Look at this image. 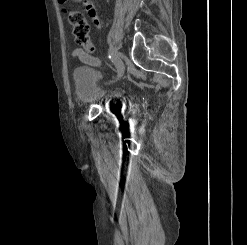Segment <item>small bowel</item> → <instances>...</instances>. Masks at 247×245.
I'll list each match as a JSON object with an SVG mask.
<instances>
[{"label":"small bowel","instance_id":"small-bowel-1","mask_svg":"<svg viewBox=\"0 0 247 245\" xmlns=\"http://www.w3.org/2000/svg\"><path fill=\"white\" fill-rule=\"evenodd\" d=\"M75 2H82L85 6V10L89 17L92 19L96 30L99 31L101 28V22L97 15V11L90 0H73ZM60 4H65L67 0H58ZM72 57L75 59L80 60L81 62L91 65V66H98L99 65V59L93 56L91 53L81 49L76 48L72 51Z\"/></svg>","mask_w":247,"mask_h":245}]
</instances>
